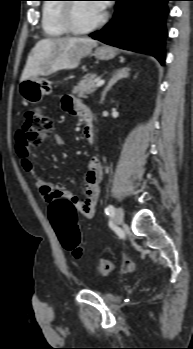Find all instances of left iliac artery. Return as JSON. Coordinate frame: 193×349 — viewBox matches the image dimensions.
Returning <instances> with one entry per match:
<instances>
[{
  "mask_svg": "<svg viewBox=\"0 0 193 349\" xmlns=\"http://www.w3.org/2000/svg\"><path fill=\"white\" fill-rule=\"evenodd\" d=\"M114 210H115L114 206H113V205H109V206L106 208L105 212H106L107 215H109V214H113V213H114Z\"/></svg>",
  "mask_w": 193,
  "mask_h": 349,
  "instance_id": "44dca946",
  "label": "left iliac artery"
}]
</instances>
